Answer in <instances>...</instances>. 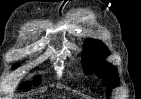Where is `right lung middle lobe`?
<instances>
[{
	"instance_id": "dd1d6c3e",
	"label": "right lung middle lobe",
	"mask_w": 141,
	"mask_h": 99,
	"mask_svg": "<svg viewBox=\"0 0 141 99\" xmlns=\"http://www.w3.org/2000/svg\"><path fill=\"white\" fill-rule=\"evenodd\" d=\"M39 81H40V79H39V78H37V79H36V84H39Z\"/></svg>"
}]
</instances>
